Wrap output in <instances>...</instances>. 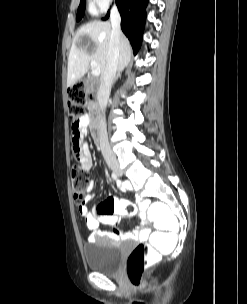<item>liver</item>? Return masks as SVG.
Segmentation results:
<instances>
[{"mask_svg": "<svg viewBox=\"0 0 247 304\" xmlns=\"http://www.w3.org/2000/svg\"><path fill=\"white\" fill-rule=\"evenodd\" d=\"M110 35L111 25L109 22L94 21L80 27L74 37L68 57V87L87 73L91 61L97 62L100 73L103 74L107 63ZM119 47L117 69L122 71L129 63L132 53L129 41L122 33L120 34Z\"/></svg>", "mask_w": 247, "mask_h": 304, "instance_id": "6515ba94", "label": "liver"}]
</instances>
